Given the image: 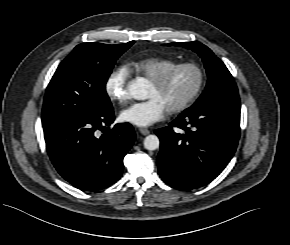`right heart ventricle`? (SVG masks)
Segmentation results:
<instances>
[{"label": "right heart ventricle", "mask_w": 290, "mask_h": 245, "mask_svg": "<svg viewBox=\"0 0 290 245\" xmlns=\"http://www.w3.org/2000/svg\"><path fill=\"white\" fill-rule=\"evenodd\" d=\"M176 60L162 58V57H147L143 59L130 60L126 64V68L129 72H134L137 75L146 77L152 80L167 68L175 65Z\"/></svg>", "instance_id": "e07e8e85"}]
</instances>
